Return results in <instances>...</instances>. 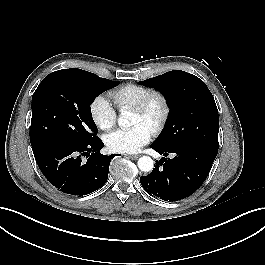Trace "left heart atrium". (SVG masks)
I'll return each mask as SVG.
<instances>
[{"label":"left heart atrium","mask_w":265,"mask_h":265,"mask_svg":"<svg viewBox=\"0 0 265 265\" xmlns=\"http://www.w3.org/2000/svg\"><path fill=\"white\" fill-rule=\"evenodd\" d=\"M152 132L142 124L130 129H118L105 136V144L112 152L136 153L151 139Z\"/></svg>","instance_id":"obj_1"}]
</instances>
